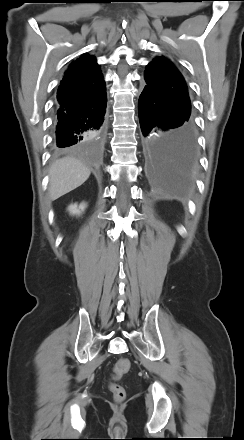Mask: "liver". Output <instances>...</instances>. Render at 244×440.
Returning <instances> with one entry per match:
<instances>
[{
	"instance_id": "liver-1",
	"label": "liver",
	"mask_w": 244,
	"mask_h": 440,
	"mask_svg": "<svg viewBox=\"0 0 244 440\" xmlns=\"http://www.w3.org/2000/svg\"><path fill=\"white\" fill-rule=\"evenodd\" d=\"M49 197H59L81 186L90 176V169L72 157L56 160L49 170Z\"/></svg>"
}]
</instances>
